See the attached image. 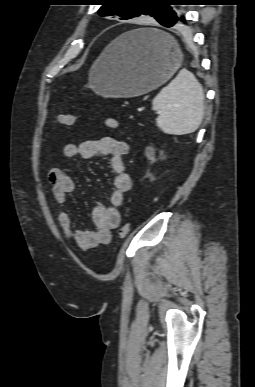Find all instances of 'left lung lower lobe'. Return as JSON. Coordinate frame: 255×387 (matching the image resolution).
I'll use <instances>...</instances> for the list:
<instances>
[{"label":"left lung lower lobe","instance_id":"1","mask_svg":"<svg viewBox=\"0 0 255 387\" xmlns=\"http://www.w3.org/2000/svg\"><path fill=\"white\" fill-rule=\"evenodd\" d=\"M182 22H184V19L181 18L179 15H177L174 19L170 20L168 23L162 24V25L169 28V27H173V26H178Z\"/></svg>","mask_w":255,"mask_h":387}]
</instances>
